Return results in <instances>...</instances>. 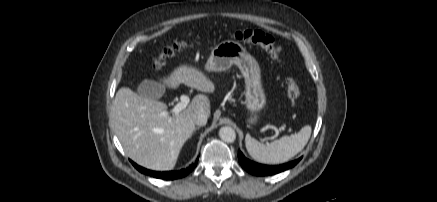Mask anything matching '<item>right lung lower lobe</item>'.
I'll return each instance as SVG.
<instances>
[{
    "label": "right lung lower lobe",
    "instance_id": "right-lung-lower-lobe-1",
    "mask_svg": "<svg viewBox=\"0 0 437 202\" xmlns=\"http://www.w3.org/2000/svg\"><path fill=\"white\" fill-rule=\"evenodd\" d=\"M197 160L194 164L190 165L186 169H182V170H178V171H169V172L150 171L148 169H145V168L137 165L136 163H134L132 161H131V163L141 173H144L146 175H150L152 177L159 178V179L172 180V179H178V178H181V177L188 175L197 166Z\"/></svg>",
    "mask_w": 437,
    "mask_h": 202
}]
</instances>
